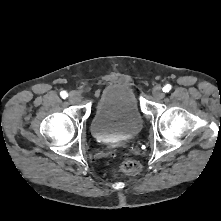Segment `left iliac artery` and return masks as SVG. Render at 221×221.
<instances>
[{"instance_id":"44dca946","label":"left iliac artery","mask_w":221,"mask_h":221,"mask_svg":"<svg viewBox=\"0 0 221 221\" xmlns=\"http://www.w3.org/2000/svg\"><path fill=\"white\" fill-rule=\"evenodd\" d=\"M170 90H171V85L170 84L165 85L164 88H163L164 92H169Z\"/></svg>"}]
</instances>
